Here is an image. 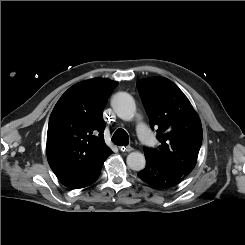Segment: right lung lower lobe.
Segmentation results:
<instances>
[{
  "instance_id": "1",
  "label": "right lung lower lobe",
  "mask_w": 245,
  "mask_h": 245,
  "mask_svg": "<svg viewBox=\"0 0 245 245\" xmlns=\"http://www.w3.org/2000/svg\"><path fill=\"white\" fill-rule=\"evenodd\" d=\"M100 172H101V168L98 169L89 179H87L83 183L79 184L74 189L84 188L86 186L93 184L99 178Z\"/></svg>"
}]
</instances>
